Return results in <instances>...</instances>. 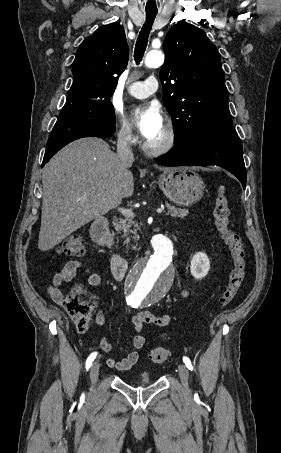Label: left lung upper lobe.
I'll use <instances>...</instances> for the list:
<instances>
[{"label": "left lung upper lobe", "mask_w": 281, "mask_h": 453, "mask_svg": "<svg viewBox=\"0 0 281 453\" xmlns=\"http://www.w3.org/2000/svg\"><path fill=\"white\" fill-rule=\"evenodd\" d=\"M163 49L160 80L166 82L163 102L173 120L175 145L233 127L220 54L205 32L179 22L169 30Z\"/></svg>", "instance_id": "5c2ea615"}]
</instances>
